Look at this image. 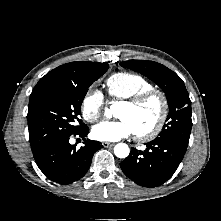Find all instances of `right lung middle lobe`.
<instances>
[{"instance_id": "1", "label": "right lung middle lobe", "mask_w": 221, "mask_h": 221, "mask_svg": "<svg viewBox=\"0 0 221 221\" xmlns=\"http://www.w3.org/2000/svg\"><path fill=\"white\" fill-rule=\"evenodd\" d=\"M108 66V63L75 62L72 77L50 84L30 97L27 118L32 150L86 126L80 119L82 101Z\"/></svg>"}]
</instances>
